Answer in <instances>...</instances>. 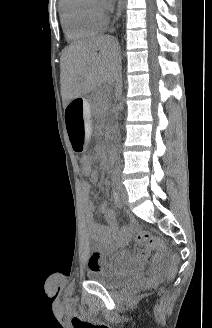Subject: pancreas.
I'll use <instances>...</instances> for the list:
<instances>
[{
	"instance_id": "pancreas-1",
	"label": "pancreas",
	"mask_w": 212,
	"mask_h": 328,
	"mask_svg": "<svg viewBox=\"0 0 212 328\" xmlns=\"http://www.w3.org/2000/svg\"><path fill=\"white\" fill-rule=\"evenodd\" d=\"M93 108L97 114H106L108 109V99L104 91H98L94 96Z\"/></svg>"
}]
</instances>
